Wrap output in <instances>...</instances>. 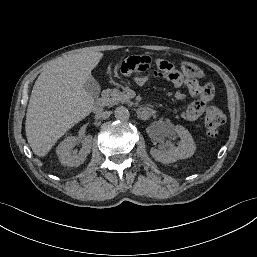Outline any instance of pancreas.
<instances>
[{"label":"pancreas","mask_w":257,"mask_h":257,"mask_svg":"<svg viewBox=\"0 0 257 257\" xmlns=\"http://www.w3.org/2000/svg\"><path fill=\"white\" fill-rule=\"evenodd\" d=\"M102 100L107 106L129 102V98L126 96V94L118 89L104 90L102 94Z\"/></svg>","instance_id":"pancreas-1"}]
</instances>
